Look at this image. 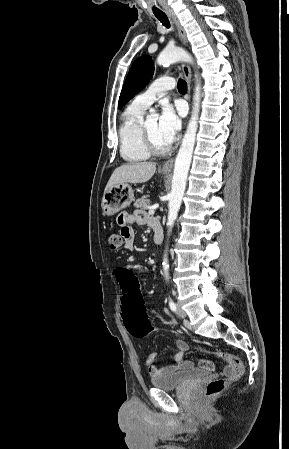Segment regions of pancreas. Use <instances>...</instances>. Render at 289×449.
I'll return each instance as SVG.
<instances>
[{
    "label": "pancreas",
    "instance_id": "obj_1",
    "mask_svg": "<svg viewBox=\"0 0 289 449\" xmlns=\"http://www.w3.org/2000/svg\"><path fill=\"white\" fill-rule=\"evenodd\" d=\"M151 202L148 199L147 195L142 196V198L137 199L134 203V206L140 209H145L150 206Z\"/></svg>",
    "mask_w": 289,
    "mask_h": 449
}]
</instances>
